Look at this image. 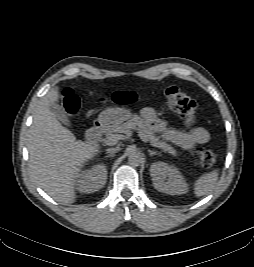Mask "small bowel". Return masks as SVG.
Listing matches in <instances>:
<instances>
[{
	"instance_id": "small-bowel-1",
	"label": "small bowel",
	"mask_w": 254,
	"mask_h": 267,
	"mask_svg": "<svg viewBox=\"0 0 254 267\" xmlns=\"http://www.w3.org/2000/svg\"><path fill=\"white\" fill-rule=\"evenodd\" d=\"M141 114L154 131L160 133L166 141L174 143L183 149L190 150L198 144L207 143L210 139V134L206 129L202 127H192V118L186 121V125L190 127V129L187 131H180L167 127L166 124L158 118L155 110L152 108H144Z\"/></svg>"
}]
</instances>
